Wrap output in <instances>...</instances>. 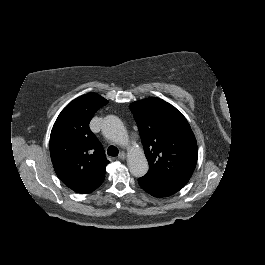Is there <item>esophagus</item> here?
<instances>
[{
  "mask_svg": "<svg viewBox=\"0 0 265 265\" xmlns=\"http://www.w3.org/2000/svg\"><path fill=\"white\" fill-rule=\"evenodd\" d=\"M125 157H126V155H125V152H124V151L120 152V154L118 155V158H119L120 160H124Z\"/></svg>",
  "mask_w": 265,
  "mask_h": 265,
  "instance_id": "esophagus-1",
  "label": "esophagus"
}]
</instances>
